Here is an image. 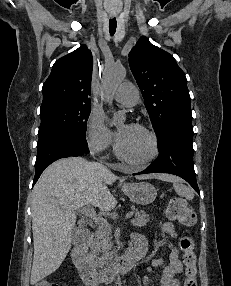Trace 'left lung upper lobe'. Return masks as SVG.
Listing matches in <instances>:
<instances>
[{"instance_id":"5c2ea615","label":"left lung upper lobe","mask_w":231,"mask_h":286,"mask_svg":"<svg viewBox=\"0 0 231 286\" xmlns=\"http://www.w3.org/2000/svg\"><path fill=\"white\" fill-rule=\"evenodd\" d=\"M129 64L156 134L170 122H192L186 76L172 55L142 36Z\"/></svg>"}]
</instances>
